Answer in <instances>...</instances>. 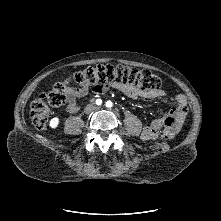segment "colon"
<instances>
[{
  "mask_svg": "<svg viewBox=\"0 0 221 221\" xmlns=\"http://www.w3.org/2000/svg\"><path fill=\"white\" fill-rule=\"evenodd\" d=\"M119 82L136 87L143 91L161 89L162 80L159 76L146 69H137L124 65H98L88 67L70 78L57 82L47 93H42L31 103L30 118L38 129H45L49 119V107L64 105L72 90L77 88L97 89L101 85ZM176 119L168 116L164 120L162 138L171 140L175 135Z\"/></svg>",
  "mask_w": 221,
  "mask_h": 221,
  "instance_id": "obj_1",
  "label": "colon"
}]
</instances>
